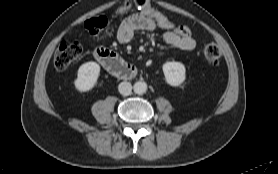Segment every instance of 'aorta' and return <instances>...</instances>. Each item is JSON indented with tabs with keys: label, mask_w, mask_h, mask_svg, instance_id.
Here are the masks:
<instances>
[{
	"label": "aorta",
	"mask_w": 278,
	"mask_h": 174,
	"mask_svg": "<svg viewBox=\"0 0 278 174\" xmlns=\"http://www.w3.org/2000/svg\"><path fill=\"white\" fill-rule=\"evenodd\" d=\"M133 89L137 94H144L147 91V84L144 81H138L134 84Z\"/></svg>",
	"instance_id": "762f6f07"
}]
</instances>
